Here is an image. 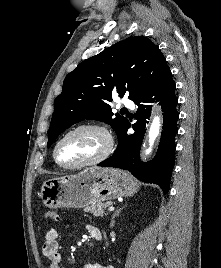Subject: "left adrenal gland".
<instances>
[{
	"instance_id": "left-adrenal-gland-1",
	"label": "left adrenal gland",
	"mask_w": 221,
	"mask_h": 268,
	"mask_svg": "<svg viewBox=\"0 0 221 268\" xmlns=\"http://www.w3.org/2000/svg\"><path fill=\"white\" fill-rule=\"evenodd\" d=\"M127 205L123 206V207H118L114 214L112 215V218H111V223H110V227L113 228L114 225H115V217H118L121 213V211L126 207Z\"/></svg>"
}]
</instances>
